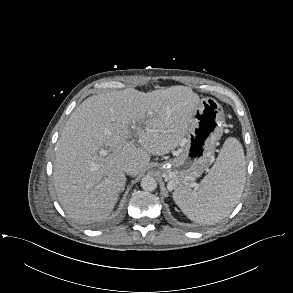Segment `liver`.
I'll list each match as a JSON object with an SVG mask.
<instances>
[{
	"mask_svg": "<svg viewBox=\"0 0 293 293\" xmlns=\"http://www.w3.org/2000/svg\"><path fill=\"white\" fill-rule=\"evenodd\" d=\"M200 101L185 86L147 93L127 89L84 100L57 142L53 178L65 212L83 223L106 219L127 181L123 167L132 163L131 175L140 174L151 155L177 148Z\"/></svg>",
	"mask_w": 293,
	"mask_h": 293,
	"instance_id": "obj_1",
	"label": "liver"
}]
</instances>
